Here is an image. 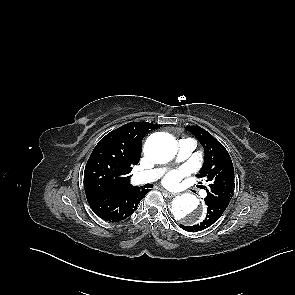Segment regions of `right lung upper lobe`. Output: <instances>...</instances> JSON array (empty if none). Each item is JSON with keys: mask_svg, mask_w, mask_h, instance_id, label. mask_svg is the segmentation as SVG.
Returning a JSON list of instances; mask_svg holds the SVG:
<instances>
[{"mask_svg": "<svg viewBox=\"0 0 295 295\" xmlns=\"http://www.w3.org/2000/svg\"><path fill=\"white\" fill-rule=\"evenodd\" d=\"M162 125L147 122H130L104 136L94 148L96 151H107L118 161L130 165H137L142 150V139L145 135ZM129 176L122 177L120 183L113 190H123L130 187Z\"/></svg>", "mask_w": 295, "mask_h": 295, "instance_id": "right-lung-upper-lobe-1", "label": "right lung upper lobe"}]
</instances>
